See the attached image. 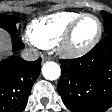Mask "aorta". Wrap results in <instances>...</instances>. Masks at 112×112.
I'll return each instance as SVG.
<instances>
[{
	"instance_id": "1",
	"label": "aorta",
	"mask_w": 112,
	"mask_h": 112,
	"mask_svg": "<svg viewBox=\"0 0 112 112\" xmlns=\"http://www.w3.org/2000/svg\"><path fill=\"white\" fill-rule=\"evenodd\" d=\"M41 71L43 77L50 81L58 79L61 75L60 66L54 61L44 63Z\"/></svg>"
}]
</instances>
